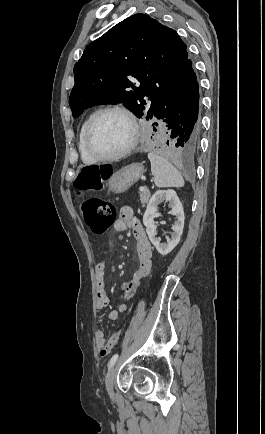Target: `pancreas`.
I'll return each instance as SVG.
<instances>
[{
    "mask_svg": "<svg viewBox=\"0 0 265 434\" xmlns=\"http://www.w3.org/2000/svg\"><path fill=\"white\" fill-rule=\"evenodd\" d=\"M150 198V192L148 188H144L143 192H140V202L143 204V208L145 204H148Z\"/></svg>",
    "mask_w": 265,
    "mask_h": 434,
    "instance_id": "pancreas-1",
    "label": "pancreas"
}]
</instances>
